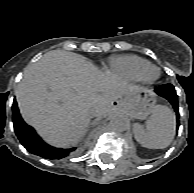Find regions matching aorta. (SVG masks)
Returning <instances> with one entry per match:
<instances>
[{"label":"aorta","instance_id":"aorta-1","mask_svg":"<svg viewBox=\"0 0 194 193\" xmlns=\"http://www.w3.org/2000/svg\"><path fill=\"white\" fill-rule=\"evenodd\" d=\"M109 125L114 132H124L128 129L129 122L124 116L114 115L111 117Z\"/></svg>","mask_w":194,"mask_h":193}]
</instances>
